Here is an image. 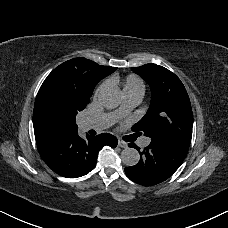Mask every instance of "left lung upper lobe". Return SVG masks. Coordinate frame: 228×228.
<instances>
[{
  "mask_svg": "<svg viewBox=\"0 0 228 228\" xmlns=\"http://www.w3.org/2000/svg\"><path fill=\"white\" fill-rule=\"evenodd\" d=\"M132 71L149 84L152 93L149 109L132 127L133 132L189 147L193 115L183 83L174 73L156 64L133 67Z\"/></svg>",
  "mask_w": 228,
  "mask_h": 228,
  "instance_id": "1",
  "label": "left lung upper lobe"
}]
</instances>
